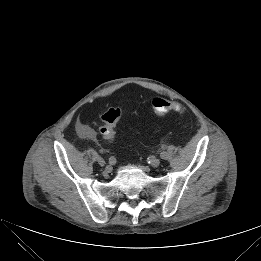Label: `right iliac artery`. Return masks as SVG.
I'll list each match as a JSON object with an SVG mask.
<instances>
[{
	"mask_svg": "<svg viewBox=\"0 0 261 261\" xmlns=\"http://www.w3.org/2000/svg\"><path fill=\"white\" fill-rule=\"evenodd\" d=\"M108 162L109 164L114 165L116 163V158L114 156H110Z\"/></svg>",
	"mask_w": 261,
	"mask_h": 261,
	"instance_id": "1",
	"label": "right iliac artery"
}]
</instances>
